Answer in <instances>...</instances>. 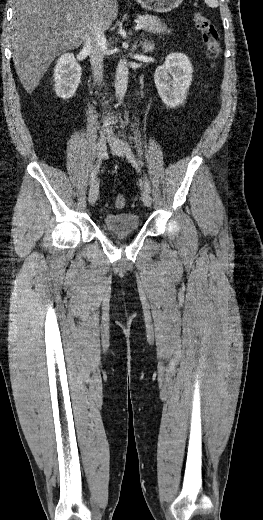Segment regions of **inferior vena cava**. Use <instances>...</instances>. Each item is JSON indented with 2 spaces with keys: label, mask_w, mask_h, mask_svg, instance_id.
<instances>
[{
  "label": "inferior vena cava",
  "mask_w": 263,
  "mask_h": 520,
  "mask_svg": "<svg viewBox=\"0 0 263 520\" xmlns=\"http://www.w3.org/2000/svg\"><path fill=\"white\" fill-rule=\"evenodd\" d=\"M104 30L98 17L94 15L85 36L84 47L89 51L94 80L100 82L103 77V59L106 50Z\"/></svg>",
  "instance_id": "inferior-vena-cava-1"
}]
</instances>
